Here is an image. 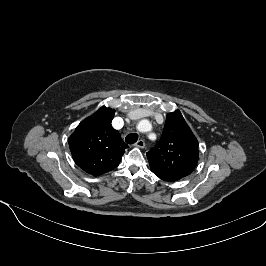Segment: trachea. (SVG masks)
I'll return each mask as SVG.
<instances>
[{
	"mask_svg": "<svg viewBox=\"0 0 266 266\" xmlns=\"http://www.w3.org/2000/svg\"><path fill=\"white\" fill-rule=\"evenodd\" d=\"M138 140V134L136 133H131V134H128L125 138V141L128 143V144H134L136 141Z\"/></svg>",
	"mask_w": 266,
	"mask_h": 266,
	"instance_id": "1",
	"label": "trachea"
}]
</instances>
